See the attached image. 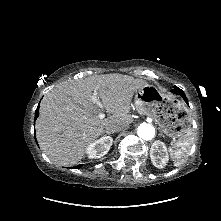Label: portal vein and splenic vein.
<instances>
[{
    "label": "portal vein and splenic vein",
    "instance_id": "1",
    "mask_svg": "<svg viewBox=\"0 0 221 221\" xmlns=\"http://www.w3.org/2000/svg\"><path fill=\"white\" fill-rule=\"evenodd\" d=\"M91 101H92L93 103H96V104L101 108V110H103V105H102V103L100 102V100L98 99V93H97V91H94V92H93V95L91 96ZM98 117H99L100 119H103V118L105 117V114L102 112V113L98 114Z\"/></svg>",
    "mask_w": 221,
    "mask_h": 221
}]
</instances>
